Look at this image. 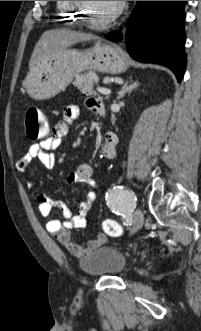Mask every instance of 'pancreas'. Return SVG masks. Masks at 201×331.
Wrapping results in <instances>:
<instances>
[{"mask_svg":"<svg viewBox=\"0 0 201 331\" xmlns=\"http://www.w3.org/2000/svg\"><path fill=\"white\" fill-rule=\"evenodd\" d=\"M95 78L96 74L94 72H88L77 76L73 82V85L76 86L82 93L87 92L89 95H96V92L93 90Z\"/></svg>","mask_w":201,"mask_h":331,"instance_id":"cf45deb5","label":"pancreas"}]
</instances>
